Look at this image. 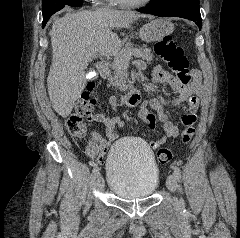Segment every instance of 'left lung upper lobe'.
<instances>
[{
  "label": "left lung upper lobe",
  "mask_w": 240,
  "mask_h": 238,
  "mask_svg": "<svg viewBox=\"0 0 240 238\" xmlns=\"http://www.w3.org/2000/svg\"><path fill=\"white\" fill-rule=\"evenodd\" d=\"M160 0H151L149 4H154L156 2H159Z\"/></svg>",
  "instance_id": "left-lung-upper-lobe-1"
}]
</instances>
